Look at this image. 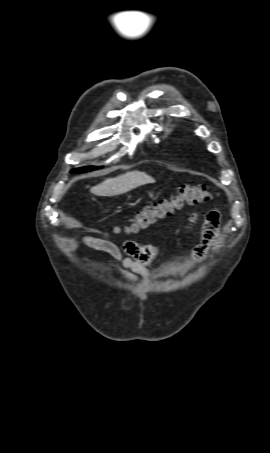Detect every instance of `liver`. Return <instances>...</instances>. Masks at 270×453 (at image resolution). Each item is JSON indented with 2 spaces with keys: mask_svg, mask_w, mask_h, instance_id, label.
Returning a JSON list of instances; mask_svg holds the SVG:
<instances>
[{
  "mask_svg": "<svg viewBox=\"0 0 270 453\" xmlns=\"http://www.w3.org/2000/svg\"><path fill=\"white\" fill-rule=\"evenodd\" d=\"M155 183V179L140 171L126 172L115 178H107L92 187L90 192L96 196H115L124 194L139 186Z\"/></svg>",
  "mask_w": 270,
  "mask_h": 453,
  "instance_id": "liver-1",
  "label": "liver"
}]
</instances>
